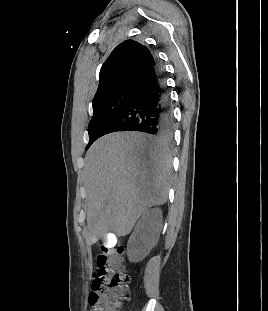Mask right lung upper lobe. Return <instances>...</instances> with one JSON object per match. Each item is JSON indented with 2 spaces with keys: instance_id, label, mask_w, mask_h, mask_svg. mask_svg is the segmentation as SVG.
<instances>
[{
  "instance_id": "1",
  "label": "right lung upper lobe",
  "mask_w": 268,
  "mask_h": 311,
  "mask_svg": "<svg viewBox=\"0 0 268 311\" xmlns=\"http://www.w3.org/2000/svg\"><path fill=\"white\" fill-rule=\"evenodd\" d=\"M154 65L155 59L146 46L134 40L122 42L101 67L93 101L120 87L136 84Z\"/></svg>"
}]
</instances>
